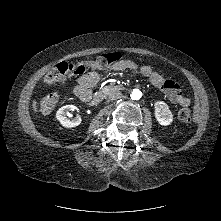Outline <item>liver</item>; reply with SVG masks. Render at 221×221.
Listing matches in <instances>:
<instances>
[{
    "mask_svg": "<svg viewBox=\"0 0 221 221\" xmlns=\"http://www.w3.org/2000/svg\"><path fill=\"white\" fill-rule=\"evenodd\" d=\"M32 107H33L34 112H37L36 101H33Z\"/></svg>",
    "mask_w": 221,
    "mask_h": 221,
    "instance_id": "6515ba94",
    "label": "liver"
}]
</instances>
